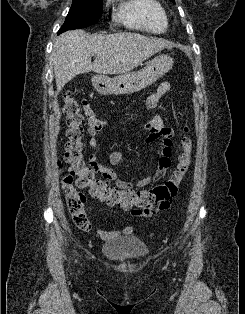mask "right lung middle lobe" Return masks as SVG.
I'll return each mask as SVG.
<instances>
[{"label": "right lung middle lobe", "instance_id": "1", "mask_svg": "<svg viewBox=\"0 0 245 314\" xmlns=\"http://www.w3.org/2000/svg\"><path fill=\"white\" fill-rule=\"evenodd\" d=\"M102 16V0H73L59 33L80 29L98 22Z\"/></svg>", "mask_w": 245, "mask_h": 314}]
</instances>
